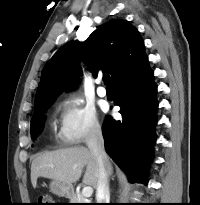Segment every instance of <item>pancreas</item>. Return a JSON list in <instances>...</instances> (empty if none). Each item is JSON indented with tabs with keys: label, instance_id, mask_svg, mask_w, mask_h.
<instances>
[{
	"label": "pancreas",
	"instance_id": "pancreas-1",
	"mask_svg": "<svg viewBox=\"0 0 200 205\" xmlns=\"http://www.w3.org/2000/svg\"><path fill=\"white\" fill-rule=\"evenodd\" d=\"M70 203H90L86 201L82 194H73L70 196Z\"/></svg>",
	"mask_w": 200,
	"mask_h": 205
}]
</instances>
